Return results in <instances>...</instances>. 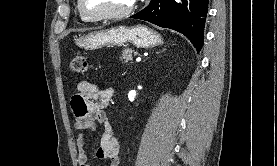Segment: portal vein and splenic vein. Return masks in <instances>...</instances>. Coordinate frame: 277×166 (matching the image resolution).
I'll return each mask as SVG.
<instances>
[{
  "label": "portal vein and splenic vein",
  "instance_id": "portal-vein-and-splenic-vein-1",
  "mask_svg": "<svg viewBox=\"0 0 277 166\" xmlns=\"http://www.w3.org/2000/svg\"><path fill=\"white\" fill-rule=\"evenodd\" d=\"M136 61L137 62L141 61V58L140 57L136 58Z\"/></svg>",
  "mask_w": 277,
  "mask_h": 166
}]
</instances>
